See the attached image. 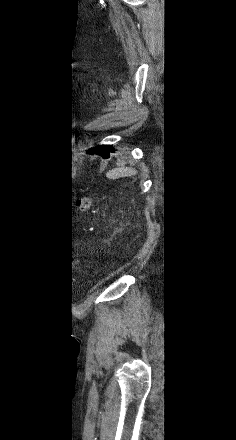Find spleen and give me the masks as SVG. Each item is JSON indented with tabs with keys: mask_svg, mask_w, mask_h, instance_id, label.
Wrapping results in <instances>:
<instances>
[{
	"mask_svg": "<svg viewBox=\"0 0 236 440\" xmlns=\"http://www.w3.org/2000/svg\"><path fill=\"white\" fill-rule=\"evenodd\" d=\"M136 174L137 171L135 169L123 167V168L113 169L112 171H109L106 175L109 179H117L119 177H127Z\"/></svg>",
	"mask_w": 236,
	"mask_h": 440,
	"instance_id": "1",
	"label": "spleen"
}]
</instances>
